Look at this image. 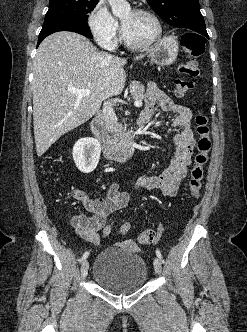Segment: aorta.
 <instances>
[{"mask_svg":"<svg viewBox=\"0 0 247 332\" xmlns=\"http://www.w3.org/2000/svg\"><path fill=\"white\" fill-rule=\"evenodd\" d=\"M112 13L116 17H121L130 12V4L126 0H108Z\"/></svg>","mask_w":247,"mask_h":332,"instance_id":"aorta-1","label":"aorta"}]
</instances>
